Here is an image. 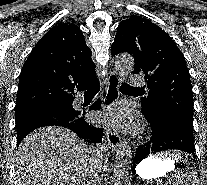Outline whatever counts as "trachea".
<instances>
[{"label": "trachea", "mask_w": 207, "mask_h": 185, "mask_svg": "<svg viewBox=\"0 0 207 185\" xmlns=\"http://www.w3.org/2000/svg\"><path fill=\"white\" fill-rule=\"evenodd\" d=\"M98 87H91L89 88L86 93L87 94H96L98 92ZM120 90H138L137 87H132L131 85H128L127 83H123L120 87Z\"/></svg>", "instance_id": "3493384b"}]
</instances>
